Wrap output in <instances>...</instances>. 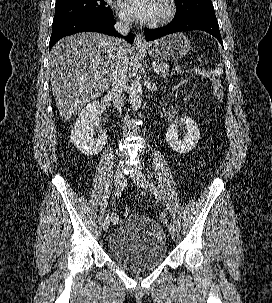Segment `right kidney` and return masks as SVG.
<instances>
[{"label":"right kidney","mask_w":272,"mask_h":303,"mask_svg":"<svg viewBox=\"0 0 272 303\" xmlns=\"http://www.w3.org/2000/svg\"><path fill=\"white\" fill-rule=\"evenodd\" d=\"M100 113V105L92 101L78 115L71 131L70 141L85 155L98 154L107 143L106 133L94 139V123Z\"/></svg>","instance_id":"ca27d5eb"}]
</instances>
